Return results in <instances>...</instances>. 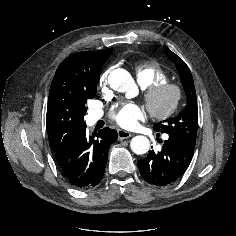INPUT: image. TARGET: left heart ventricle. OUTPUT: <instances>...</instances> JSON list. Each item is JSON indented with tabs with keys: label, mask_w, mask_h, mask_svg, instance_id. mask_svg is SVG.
<instances>
[{
	"label": "left heart ventricle",
	"mask_w": 236,
	"mask_h": 236,
	"mask_svg": "<svg viewBox=\"0 0 236 236\" xmlns=\"http://www.w3.org/2000/svg\"><path fill=\"white\" fill-rule=\"evenodd\" d=\"M171 97H172V94L169 91L162 93L157 99L156 106L158 108L166 107L171 101Z\"/></svg>",
	"instance_id": "1"
}]
</instances>
